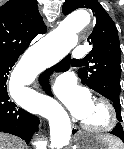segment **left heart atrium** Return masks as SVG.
Returning <instances> with one entry per match:
<instances>
[{
    "mask_svg": "<svg viewBox=\"0 0 124 149\" xmlns=\"http://www.w3.org/2000/svg\"><path fill=\"white\" fill-rule=\"evenodd\" d=\"M52 89L70 113L79 120H83L93 106L90 92L77 85L71 76L62 75L57 78Z\"/></svg>",
    "mask_w": 124,
    "mask_h": 149,
    "instance_id": "obj_1",
    "label": "left heart atrium"
}]
</instances>
